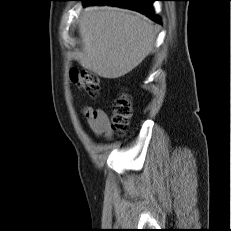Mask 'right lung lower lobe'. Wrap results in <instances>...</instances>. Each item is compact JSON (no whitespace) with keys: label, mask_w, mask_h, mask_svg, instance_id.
<instances>
[{"label":"right lung lower lobe","mask_w":231,"mask_h":231,"mask_svg":"<svg viewBox=\"0 0 231 231\" xmlns=\"http://www.w3.org/2000/svg\"><path fill=\"white\" fill-rule=\"evenodd\" d=\"M80 1H82L85 5L109 4L113 6L133 9L149 16L155 21H159V19L155 16L152 8V2L155 0H80Z\"/></svg>","instance_id":"right-lung-lower-lobe-1"}]
</instances>
